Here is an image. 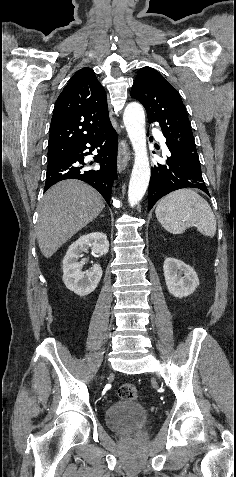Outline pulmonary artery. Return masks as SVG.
Instances as JSON below:
<instances>
[{
  "instance_id": "pulmonary-artery-1",
  "label": "pulmonary artery",
  "mask_w": 236,
  "mask_h": 477,
  "mask_svg": "<svg viewBox=\"0 0 236 477\" xmlns=\"http://www.w3.org/2000/svg\"><path fill=\"white\" fill-rule=\"evenodd\" d=\"M155 136H156V138H157L160 142H162L163 145L165 146V139H164V137H163L162 135H160V134H156Z\"/></svg>"
}]
</instances>
